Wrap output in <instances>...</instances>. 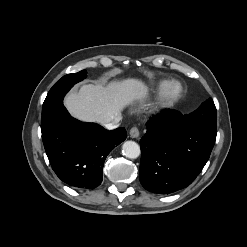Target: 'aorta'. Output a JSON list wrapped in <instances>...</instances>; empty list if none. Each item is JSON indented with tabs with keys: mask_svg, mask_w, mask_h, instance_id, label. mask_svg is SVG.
<instances>
[{
	"mask_svg": "<svg viewBox=\"0 0 247 247\" xmlns=\"http://www.w3.org/2000/svg\"><path fill=\"white\" fill-rule=\"evenodd\" d=\"M122 153L129 159H136L140 156V146L134 141H126L122 145Z\"/></svg>",
	"mask_w": 247,
	"mask_h": 247,
	"instance_id": "aorta-1",
	"label": "aorta"
}]
</instances>
